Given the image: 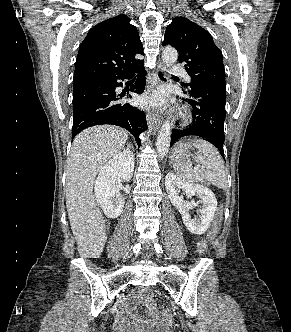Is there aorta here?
<instances>
[{
	"label": "aorta",
	"instance_id": "1",
	"mask_svg": "<svg viewBox=\"0 0 291 332\" xmlns=\"http://www.w3.org/2000/svg\"><path fill=\"white\" fill-rule=\"evenodd\" d=\"M178 59V52L173 47H165L162 53V60L165 66L171 67ZM171 141V126L168 122H164L162 125L157 141L156 150L158 156L163 158L168 153Z\"/></svg>",
	"mask_w": 291,
	"mask_h": 332
}]
</instances>
